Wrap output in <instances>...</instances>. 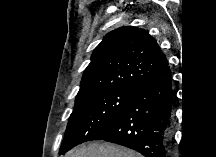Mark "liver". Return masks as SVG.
<instances>
[{
  "instance_id": "6515ba94",
  "label": "liver",
  "mask_w": 216,
  "mask_h": 157,
  "mask_svg": "<svg viewBox=\"0 0 216 157\" xmlns=\"http://www.w3.org/2000/svg\"><path fill=\"white\" fill-rule=\"evenodd\" d=\"M66 157H141L139 153L110 143H90L74 149Z\"/></svg>"
}]
</instances>
